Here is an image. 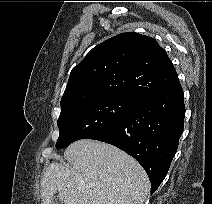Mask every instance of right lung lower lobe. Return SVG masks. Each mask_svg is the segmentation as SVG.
Listing matches in <instances>:
<instances>
[{
    "mask_svg": "<svg viewBox=\"0 0 212 204\" xmlns=\"http://www.w3.org/2000/svg\"><path fill=\"white\" fill-rule=\"evenodd\" d=\"M180 83L145 96L117 124L89 139L112 144L147 172L151 193L165 178L183 132L185 106Z\"/></svg>",
    "mask_w": 212,
    "mask_h": 204,
    "instance_id": "obj_1",
    "label": "right lung lower lobe"
}]
</instances>
